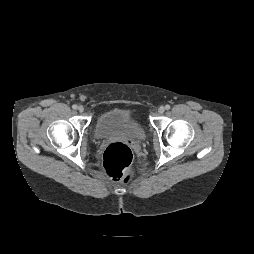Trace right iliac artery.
Wrapping results in <instances>:
<instances>
[{
	"instance_id": "right-iliac-artery-1",
	"label": "right iliac artery",
	"mask_w": 254,
	"mask_h": 254,
	"mask_svg": "<svg viewBox=\"0 0 254 254\" xmlns=\"http://www.w3.org/2000/svg\"><path fill=\"white\" fill-rule=\"evenodd\" d=\"M72 108H73V109H77V105L74 104V105L72 106Z\"/></svg>"
}]
</instances>
